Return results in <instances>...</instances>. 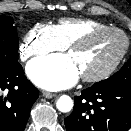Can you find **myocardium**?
<instances>
[{"label": "myocardium", "instance_id": "obj_1", "mask_svg": "<svg viewBox=\"0 0 131 131\" xmlns=\"http://www.w3.org/2000/svg\"><path fill=\"white\" fill-rule=\"evenodd\" d=\"M108 32L118 33L121 36H123L124 41H125L124 46H123L121 52L118 54V56L105 69H103L100 72L95 73V74H82L81 78L84 81L98 82V81H101V80L107 78L108 76H110L116 70V68L119 66V64L121 63V61L125 57L128 49H129V46H130V39H129L128 35L123 30H121L117 27L107 26V27L97 28V29L88 31L67 45V50L71 51L73 49L85 46L94 37L104 34V33H108Z\"/></svg>", "mask_w": 131, "mask_h": 131}]
</instances>
